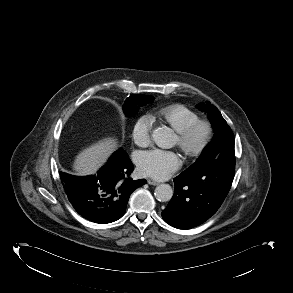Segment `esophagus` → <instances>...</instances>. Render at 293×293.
I'll return each instance as SVG.
<instances>
[{"label": "esophagus", "mask_w": 293, "mask_h": 293, "mask_svg": "<svg viewBox=\"0 0 293 293\" xmlns=\"http://www.w3.org/2000/svg\"><path fill=\"white\" fill-rule=\"evenodd\" d=\"M147 182H148L149 185H154V186L159 185L158 181H155V180H152V179H148Z\"/></svg>", "instance_id": "1"}]
</instances>
